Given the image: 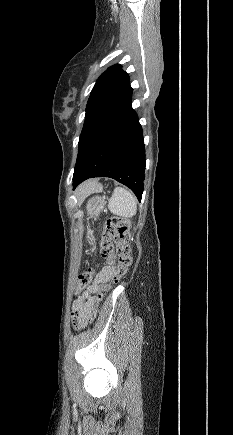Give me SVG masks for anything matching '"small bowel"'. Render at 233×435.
I'll use <instances>...</instances> for the list:
<instances>
[{
    "instance_id": "obj_1",
    "label": "small bowel",
    "mask_w": 233,
    "mask_h": 435,
    "mask_svg": "<svg viewBox=\"0 0 233 435\" xmlns=\"http://www.w3.org/2000/svg\"><path fill=\"white\" fill-rule=\"evenodd\" d=\"M114 271L113 267L105 266L97 275V279L103 282L108 281L112 278ZM95 288V284L86 288H81L79 280L76 283V291L81 292V294L73 302L71 317L77 327L83 326L88 322V309L94 301L93 291Z\"/></svg>"
}]
</instances>
